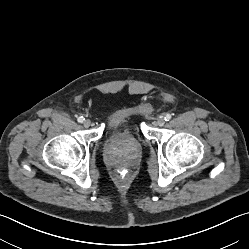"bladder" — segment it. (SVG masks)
Listing matches in <instances>:
<instances>
[{"mask_svg":"<svg viewBox=\"0 0 249 249\" xmlns=\"http://www.w3.org/2000/svg\"><path fill=\"white\" fill-rule=\"evenodd\" d=\"M148 114L147 106L143 103H136L131 106L125 107L113 115L107 123V129L112 130L122 124L128 123L131 119L139 116H145ZM112 141V138L108 136L105 139L106 143Z\"/></svg>","mask_w":249,"mask_h":249,"instance_id":"bladder-1","label":"bladder"}]
</instances>
